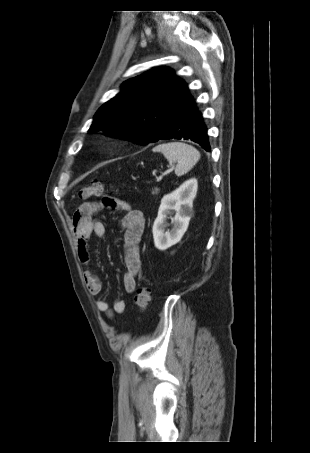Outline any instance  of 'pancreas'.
Here are the masks:
<instances>
[{"label": "pancreas", "mask_w": 310, "mask_h": 453, "mask_svg": "<svg viewBox=\"0 0 310 453\" xmlns=\"http://www.w3.org/2000/svg\"><path fill=\"white\" fill-rule=\"evenodd\" d=\"M158 191H159V189L155 188V190H153L152 194H158Z\"/></svg>", "instance_id": "1"}]
</instances>
